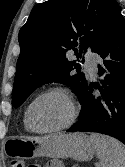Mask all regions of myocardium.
Masks as SVG:
<instances>
[{
    "instance_id": "f54148a6",
    "label": "myocardium",
    "mask_w": 125,
    "mask_h": 167,
    "mask_svg": "<svg viewBox=\"0 0 125 167\" xmlns=\"http://www.w3.org/2000/svg\"><path fill=\"white\" fill-rule=\"evenodd\" d=\"M59 95L61 96L66 103L68 104L69 107V115L67 117V119L60 125L53 127V128H49V129H43V130H39V129H35L30 122V114H31V110L33 108V106L42 98L48 96V95ZM78 115V109L75 103V100L72 96V94L70 93L69 90H67L66 88L63 87H50L46 90H44L43 92H41L40 94H38L28 105L26 111H25V118L27 121V125L28 128L35 133L38 134H49V133H54V132H58L61 130H64L68 127H70L76 120Z\"/></svg>"
}]
</instances>
